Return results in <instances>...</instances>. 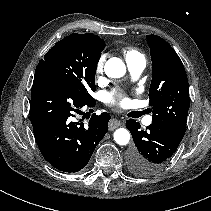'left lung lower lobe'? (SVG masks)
Wrapping results in <instances>:
<instances>
[{"label": "left lung lower lobe", "mask_w": 211, "mask_h": 211, "mask_svg": "<svg viewBox=\"0 0 211 211\" xmlns=\"http://www.w3.org/2000/svg\"><path fill=\"white\" fill-rule=\"evenodd\" d=\"M131 132L134 147L128 153V165L137 176H152L159 173L176 152L179 142L153 125L145 130L134 119L126 121Z\"/></svg>", "instance_id": "0a47b994"}]
</instances>
